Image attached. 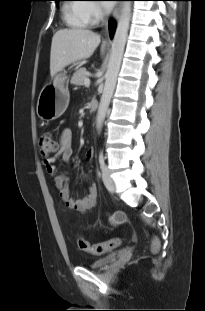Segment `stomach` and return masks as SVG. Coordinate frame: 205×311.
<instances>
[{
	"instance_id": "obj_1",
	"label": "stomach",
	"mask_w": 205,
	"mask_h": 311,
	"mask_svg": "<svg viewBox=\"0 0 205 311\" xmlns=\"http://www.w3.org/2000/svg\"><path fill=\"white\" fill-rule=\"evenodd\" d=\"M68 101V79L61 72L52 77L42 88L37 102V114L42 120H55L65 112Z\"/></svg>"
}]
</instances>
